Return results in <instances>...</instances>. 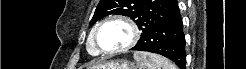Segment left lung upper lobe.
<instances>
[{
	"label": "left lung upper lobe",
	"mask_w": 246,
	"mask_h": 69,
	"mask_svg": "<svg viewBox=\"0 0 246 69\" xmlns=\"http://www.w3.org/2000/svg\"><path fill=\"white\" fill-rule=\"evenodd\" d=\"M178 9L176 0H100L89 26L110 14L135 21L142 33Z\"/></svg>",
	"instance_id": "obj_1"
}]
</instances>
